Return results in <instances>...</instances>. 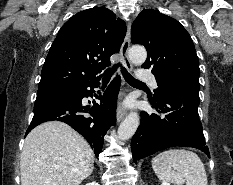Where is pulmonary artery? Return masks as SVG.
<instances>
[{
    "mask_svg": "<svg viewBox=\"0 0 233 185\" xmlns=\"http://www.w3.org/2000/svg\"><path fill=\"white\" fill-rule=\"evenodd\" d=\"M138 77L141 81L149 83L153 88H157V81L151 73L141 70L139 71Z\"/></svg>",
    "mask_w": 233,
    "mask_h": 185,
    "instance_id": "pulmonary-artery-1",
    "label": "pulmonary artery"
}]
</instances>
